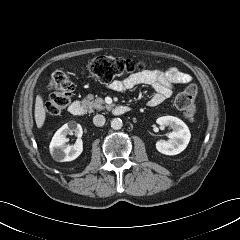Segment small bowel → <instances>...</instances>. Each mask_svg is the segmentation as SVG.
<instances>
[{
  "mask_svg": "<svg viewBox=\"0 0 240 240\" xmlns=\"http://www.w3.org/2000/svg\"><path fill=\"white\" fill-rule=\"evenodd\" d=\"M191 80L190 74L173 67L165 72L143 71L136 73L125 79L115 80L108 87L113 91L124 92L140 85L150 86L154 90V94L147 104L150 107H155L172 95L175 84H188Z\"/></svg>",
  "mask_w": 240,
  "mask_h": 240,
  "instance_id": "1",
  "label": "small bowel"
}]
</instances>
